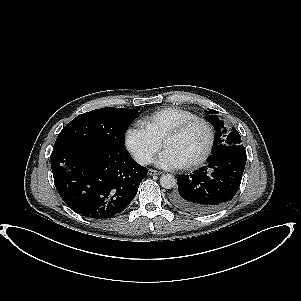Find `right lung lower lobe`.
Returning a JSON list of instances; mask_svg holds the SVG:
<instances>
[{
	"label": "right lung lower lobe",
	"instance_id": "98d812e1",
	"mask_svg": "<svg viewBox=\"0 0 301 301\" xmlns=\"http://www.w3.org/2000/svg\"><path fill=\"white\" fill-rule=\"evenodd\" d=\"M50 160L63 201L93 219L111 218L124 210L148 171L128 151L97 141L55 146Z\"/></svg>",
	"mask_w": 301,
	"mask_h": 301
}]
</instances>
